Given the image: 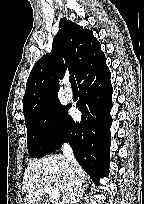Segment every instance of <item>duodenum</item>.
<instances>
[{
	"instance_id": "duodenum-1",
	"label": "duodenum",
	"mask_w": 144,
	"mask_h": 204,
	"mask_svg": "<svg viewBox=\"0 0 144 204\" xmlns=\"http://www.w3.org/2000/svg\"><path fill=\"white\" fill-rule=\"evenodd\" d=\"M39 204H48V203H45V202H40Z\"/></svg>"
}]
</instances>
